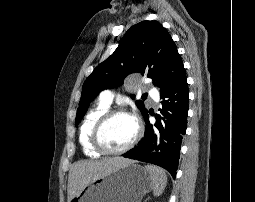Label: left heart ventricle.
<instances>
[{
    "instance_id": "1",
    "label": "left heart ventricle",
    "mask_w": 255,
    "mask_h": 202,
    "mask_svg": "<svg viewBox=\"0 0 255 202\" xmlns=\"http://www.w3.org/2000/svg\"><path fill=\"white\" fill-rule=\"evenodd\" d=\"M136 132L134 120L125 115L113 117L102 131V141L110 149H120L128 144Z\"/></svg>"
}]
</instances>
